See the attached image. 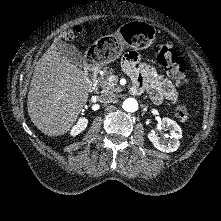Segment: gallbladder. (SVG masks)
Segmentation results:
<instances>
[{
  "instance_id": "gallbladder-1",
  "label": "gallbladder",
  "mask_w": 221,
  "mask_h": 221,
  "mask_svg": "<svg viewBox=\"0 0 221 221\" xmlns=\"http://www.w3.org/2000/svg\"><path fill=\"white\" fill-rule=\"evenodd\" d=\"M56 48L59 54L70 60L76 66H82V55L81 52L73 45L68 44L64 41L56 42Z\"/></svg>"
}]
</instances>
